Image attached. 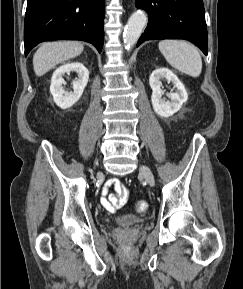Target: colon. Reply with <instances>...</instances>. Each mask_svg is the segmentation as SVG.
<instances>
[{
    "label": "colon",
    "mask_w": 243,
    "mask_h": 289,
    "mask_svg": "<svg viewBox=\"0 0 243 289\" xmlns=\"http://www.w3.org/2000/svg\"><path fill=\"white\" fill-rule=\"evenodd\" d=\"M147 207H148L147 202L142 200L135 203L134 210L137 213H143L147 210Z\"/></svg>",
    "instance_id": "5ec220e1"
}]
</instances>
